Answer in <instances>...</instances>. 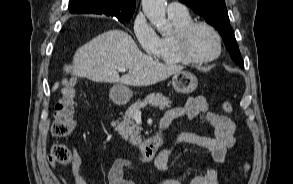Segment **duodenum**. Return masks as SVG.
I'll list each match as a JSON object with an SVG mask.
<instances>
[{
	"label": "duodenum",
	"mask_w": 293,
	"mask_h": 184,
	"mask_svg": "<svg viewBox=\"0 0 293 184\" xmlns=\"http://www.w3.org/2000/svg\"><path fill=\"white\" fill-rule=\"evenodd\" d=\"M168 126V123L161 122V131L158 134L136 146L139 159L150 160L157 156L164 140V131Z\"/></svg>",
	"instance_id": "1"
}]
</instances>
